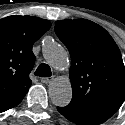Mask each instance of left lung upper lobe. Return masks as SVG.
I'll return each mask as SVG.
<instances>
[{
    "label": "left lung upper lobe",
    "mask_w": 125,
    "mask_h": 125,
    "mask_svg": "<svg viewBox=\"0 0 125 125\" xmlns=\"http://www.w3.org/2000/svg\"><path fill=\"white\" fill-rule=\"evenodd\" d=\"M55 32L71 56L70 109H119L125 100V67L118 46L98 24L86 20L55 22Z\"/></svg>",
    "instance_id": "5c2ea615"
}]
</instances>
